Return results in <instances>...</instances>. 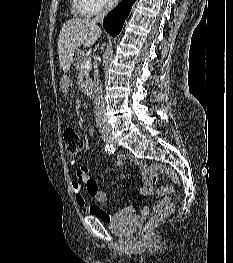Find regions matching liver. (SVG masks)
I'll list each match as a JSON object with an SVG mask.
<instances>
[{"label":"liver","instance_id":"obj_1","mask_svg":"<svg viewBox=\"0 0 233 263\" xmlns=\"http://www.w3.org/2000/svg\"><path fill=\"white\" fill-rule=\"evenodd\" d=\"M100 36V28L89 18H74L64 23L58 38L59 62L64 73L70 69L75 50L81 45L91 47Z\"/></svg>","mask_w":233,"mask_h":263}]
</instances>
